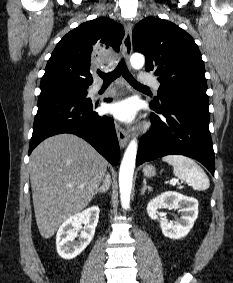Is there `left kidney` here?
I'll list each match as a JSON object with an SVG mask.
<instances>
[{
  "instance_id": "5707ae66",
  "label": "left kidney",
  "mask_w": 233,
  "mask_h": 283,
  "mask_svg": "<svg viewBox=\"0 0 233 283\" xmlns=\"http://www.w3.org/2000/svg\"><path fill=\"white\" fill-rule=\"evenodd\" d=\"M178 209L182 213L179 219L168 222L161 218L160 227L164 236L171 239L185 237L198 217V201L195 198L184 196L177 192H165L151 200L147 205V213L153 220L158 219V209Z\"/></svg>"
}]
</instances>
